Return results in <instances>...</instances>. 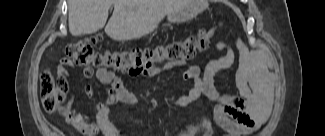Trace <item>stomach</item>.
<instances>
[{
    "instance_id": "stomach-1",
    "label": "stomach",
    "mask_w": 325,
    "mask_h": 136,
    "mask_svg": "<svg viewBox=\"0 0 325 136\" xmlns=\"http://www.w3.org/2000/svg\"><path fill=\"white\" fill-rule=\"evenodd\" d=\"M190 3L184 7V9L167 15L168 21L172 23L184 22L194 16H196L200 11L207 7L206 0H189Z\"/></svg>"
}]
</instances>
